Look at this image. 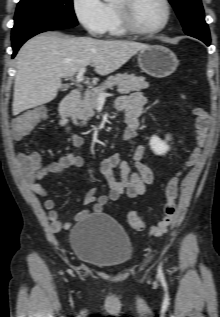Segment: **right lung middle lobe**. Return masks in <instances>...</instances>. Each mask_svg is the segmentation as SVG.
I'll return each mask as SVG.
<instances>
[{
	"mask_svg": "<svg viewBox=\"0 0 220 317\" xmlns=\"http://www.w3.org/2000/svg\"><path fill=\"white\" fill-rule=\"evenodd\" d=\"M60 21L76 26L72 0H21L15 14L12 34L35 23Z\"/></svg>",
	"mask_w": 220,
	"mask_h": 317,
	"instance_id": "obj_1",
	"label": "right lung middle lobe"
}]
</instances>
